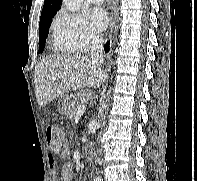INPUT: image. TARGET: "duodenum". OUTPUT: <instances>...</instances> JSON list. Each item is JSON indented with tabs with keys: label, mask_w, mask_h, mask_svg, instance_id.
Instances as JSON below:
<instances>
[{
	"label": "duodenum",
	"mask_w": 197,
	"mask_h": 181,
	"mask_svg": "<svg viewBox=\"0 0 197 181\" xmlns=\"http://www.w3.org/2000/svg\"><path fill=\"white\" fill-rule=\"evenodd\" d=\"M92 155H93V150H92V148H91L90 146H87V147L85 148V156H86L87 158H91Z\"/></svg>",
	"instance_id": "obj_1"
}]
</instances>
